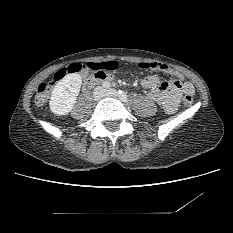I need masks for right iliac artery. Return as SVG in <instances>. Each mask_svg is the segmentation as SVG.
<instances>
[{"mask_svg":"<svg viewBox=\"0 0 233 233\" xmlns=\"http://www.w3.org/2000/svg\"><path fill=\"white\" fill-rule=\"evenodd\" d=\"M102 85H103V87H104L105 89L110 88V83H109V82H104Z\"/></svg>","mask_w":233,"mask_h":233,"instance_id":"obj_1","label":"right iliac artery"}]
</instances>
